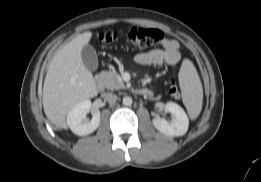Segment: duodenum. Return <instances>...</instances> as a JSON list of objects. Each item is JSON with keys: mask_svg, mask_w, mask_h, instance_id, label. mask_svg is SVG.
<instances>
[{"mask_svg": "<svg viewBox=\"0 0 261 182\" xmlns=\"http://www.w3.org/2000/svg\"><path fill=\"white\" fill-rule=\"evenodd\" d=\"M95 84H96V87L98 88V90H100V91L104 90V82L100 76H98L96 78ZM136 92L142 96H151V94H152V92L147 88H139L136 90Z\"/></svg>", "mask_w": 261, "mask_h": 182, "instance_id": "duodenum-1", "label": "duodenum"}]
</instances>
